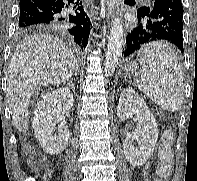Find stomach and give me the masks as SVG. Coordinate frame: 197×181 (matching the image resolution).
Instances as JSON below:
<instances>
[{
  "label": "stomach",
  "mask_w": 197,
  "mask_h": 181,
  "mask_svg": "<svg viewBox=\"0 0 197 181\" xmlns=\"http://www.w3.org/2000/svg\"><path fill=\"white\" fill-rule=\"evenodd\" d=\"M140 71L139 66L137 63H127L124 67V72L126 75L138 74Z\"/></svg>",
  "instance_id": "0dacf381"
}]
</instances>
